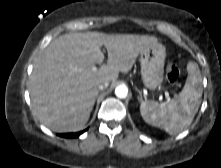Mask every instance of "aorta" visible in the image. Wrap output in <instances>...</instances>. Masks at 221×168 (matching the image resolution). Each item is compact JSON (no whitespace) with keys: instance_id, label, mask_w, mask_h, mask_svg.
Returning a JSON list of instances; mask_svg holds the SVG:
<instances>
[{"instance_id":"762f6f07","label":"aorta","mask_w":221,"mask_h":168,"mask_svg":"<svg viewBox=\"0 0 221 168\" xmlns=\"http://www.w3.org/2000/svg\"><path fill=\"white\" fill-rule=\"evenodd\" d=\"M115 94L118 98H126L128 89L124 85L117 86L115 89Z\"/></svg>"}]
</instances>
